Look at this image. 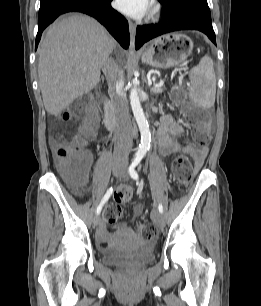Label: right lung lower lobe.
Here are the masks:
<instances>
[{
    "instance_id": "98d812e1",
    "label": "right lung lower lobe",
    "mask_w": 261,
    "mask_h": 306,
    "mask_svg": "<svg viewBox=\"0 0 261 306\" xmlns=\"http://www.w3.org/2000/svg\"><path fill=\"white\" fill-rule=\"evenodd\" d=\"M112 0H40L36 49L43 30L60 14L72 11L86 13L96 18L125 49L130 35L127 20L111 7Z\"/></svg>"
}]
</instances>
